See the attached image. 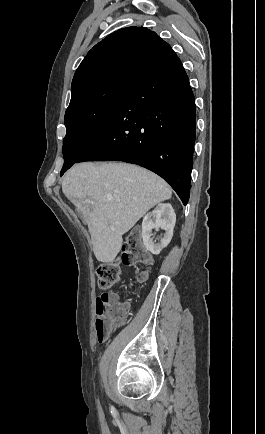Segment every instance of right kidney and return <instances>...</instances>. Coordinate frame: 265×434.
Instances as JSON below:
<instances>
[{"mask_svg": "<svg viewBox=\"0 0 265 434\" xmlns=\"http://www.w3.org/2000/svg\"><path fill=\"white\" fill-rule=\"evenodd\" d=\"M176 222V214L171 204H158L153 212L146 214L142 222V238L143 244L146 250H149L151 254H160L163 248H166L170 244L173 236V230ZM154 228H161L165 230L164 238H162L160 244H155L152 236V230Z\"/></svg>", "mask_w": 265, "mask_h": 434, "instance_id": "right-kidney-1", "label": "right kidney"}]
</instances>
